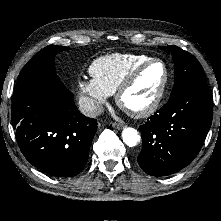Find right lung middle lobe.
I'll list each match as a JSON object with an SVG mask.
<instances>
[{
  "label": "right lung middle lobe",
  "instance_id": "1",
  "mask_svg": "<svg viewBox=\"0 0 221 221\" xmlns=\"http://www.w3.org/2000/svg\"><path fill=\"white\" fill-rule=\"evenodd\" d=\"M67 49L69 48L51 45L34 55L18 76L12 100L36 88L46 86L64 87V84L56 75L54 58L57 53Z\"/></svg>",
  "mask_w": 221,
  "mask_h": 221
}]
</instances>
